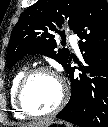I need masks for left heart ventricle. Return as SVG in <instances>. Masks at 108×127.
<instances>
[{"mask_svg":"<svg viewBox=\"0 0 108 127\" xmlns=\"http://www.w3.org/2000/svg\"><path fill=\"white\" fill-rule=\"evenodd\" d=\"M61 95V86L56 77L40 73L33 77L25 92L26 106L33 112L45 113L53 109Z\"/></svg>","mask_w":108,"mask_h":127,"instance_id":"left-heart-ventricle-1","label":"left heart ventricle"}]
</instances>
